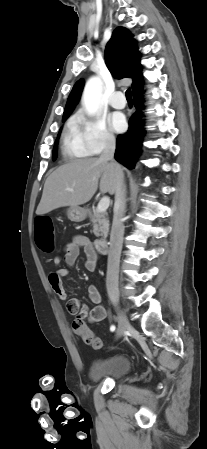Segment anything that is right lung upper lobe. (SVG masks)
I'll return each instance as SVG.
<instances>
[{
    "mask_svg": "<svg viewBox=\"0 0 207 449\" xmlns=\"http://www.w3.org/2000/svg\"><path fill=\"white\" fill-rule=\"evenodd\" d=\"M139 54L136 48V41L130 32L123 27H117L106 45V64L115 77L132 78L133 93L141 89L143 84ZM83 86L84 82L82 79L78 80L73 86L62 119H67L74 110L81 97Z\"/></svg>",
    "mask_w": 207,
    "mask_h": 449,
    "instance_id": "obj_1",
    "label": "right lung upper lobe"
}]
</instances>
